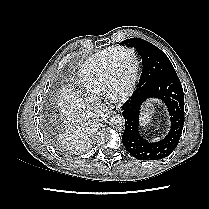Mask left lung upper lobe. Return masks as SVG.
Wrapping results in <instances>:
<instances>
[{
  "label": "left lung upper lobe",
  "mask_w": 209,
  "mask_h": 209,
  "mask_svg": "<svg viewBox=\"0 0 209 209\" xmlns=\"http://www.w3.org/2000/svg\"><path fill=\"white\" fill-rule=\"evenodd\" d=\"M121 44L136 48L142 57L143 71L137 87H147L164 76L176 74L169 58L155 45L140 38H130Z\"/></svg>",
  "instance_id": "5c2ea615"
}]
</instances>
